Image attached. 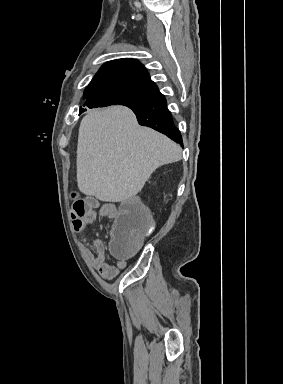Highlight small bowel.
<instances>
[{"instance_id":"obj_1","label":"small bowel","mask_w":283,"mask_h":384,"mask_svg":"<svg viewBox=\"0 0 283 384\" xmlns=\"http://www.w3.org/2000/svg\"><path fill=\"white\" fill-rule=\"evenodd\" d=\"M118 210L112 204H103L97 212L91 209L82 218L79 224H74L76 231H84L90 227L97 218V214L102 217L114 219L117 216ZM82 253L86 261L94 267L100 276L106 280L115 278L127 266L125 259H118L114 264H109L106 261V253L104 243L100 239H94L92 249L82 247Z\"/></svg>"}]
</instances>
